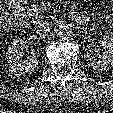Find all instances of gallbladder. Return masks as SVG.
<instances>
[{
	"label": "gallbladder",
	"mask_w": 113,
	"mask_h": 113,
	"mask_svg": "<svg viewBox=\"0 0 113 113\" xmlns=\"http://www.w3.org/2000/svg\"><path fill=\"white\" fill-rule=\"evenodd\" d=\"M5 1V0H4ZM4 10V5L2 3V0H0V11H3Z\"/></svg>",
	"instance_id": "1"
}]
</instances>
